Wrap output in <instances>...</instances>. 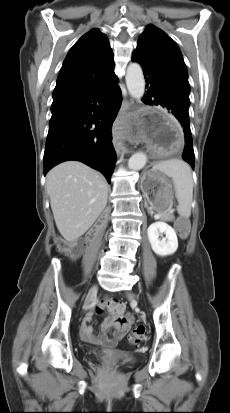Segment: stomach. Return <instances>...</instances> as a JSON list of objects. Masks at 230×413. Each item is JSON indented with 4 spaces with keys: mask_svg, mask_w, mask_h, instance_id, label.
Instances as JSON below:
<instances>
[{
    "mask_svg": "<svg viewBox=\"0 0 230 413\" xmlns=\"http://www.w3.org/2000/svg\"><path fill=\"white\" fill-rule=\"evenodd\" d=\"M141 190L150 207L163 215L173 202L172 184L161 172H145L141 180Z\"/></svg>",
    "mask_w": 230,
    "mask_h": 413,
    "instance_id": "0dacf381",
    "label": "stomach"
}]
</instances>
